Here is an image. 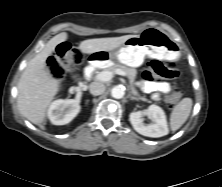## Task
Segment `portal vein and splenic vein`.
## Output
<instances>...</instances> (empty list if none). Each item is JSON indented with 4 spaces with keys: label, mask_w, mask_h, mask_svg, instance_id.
<instances>
[{
    "label": "portal vein and splenic vein",
    "mask_w": 222,
    "mask_h": 187,
    "mask_svg": "<svg viewBox=\"0 0 222 187\" xmlns=\"http://www.w3.org/2000/svg\"><path fill=\"white\" fill-rule=\"evenodd\" d=\"M115 73L118 74V75H121V76L126 75L125 72L122 71V70H116ZM95 78H96V80H99V81H102V82H107V81H110L113 78V73L109 72V71H102V72H99L96 75Z\"/></svg>",
    "instance_id": "1"
}]
</instances>
